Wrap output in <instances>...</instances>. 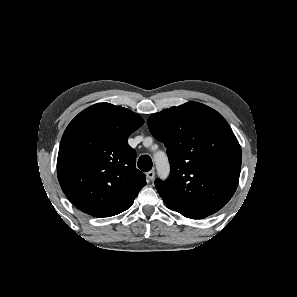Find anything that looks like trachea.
<instances>
[{
    "label": "trachea",
    "instance_id": "1",
    "mask_svg": "<svg viewBox=\"0 0 297 297\" xmlns=\"http://www.w3.org/2000/svg\"><path fill=\"white\" fill-rule=\"evenodd\" d=\"M137 166L140 170H142L144 172L151 170L152 160H151L150 156L142 155L137 162Z\"/></svg>",
    "mask_w": 297,
    "mask_h": 297
}]
</instances>
